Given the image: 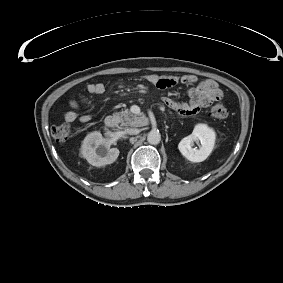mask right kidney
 Segmentation results:
<instances>
[{
    "instance_id": "right-kidney-1",
    "label": "right kidney",
    "mask_w": 283,
    "mask_h": 283,
    "mask_svg": "<svg viewBox=\"0 0 283 283\" xmlns=\"http://www.w3.org/2000/svg\"><path fill=\"white\" fill-rule=\"evenodd\" d=\"M110 140L98 131L88 134L82 142V155L93 166L113 163L119 156L117 148H110Z\"/></svg>"
}]
</instances>
